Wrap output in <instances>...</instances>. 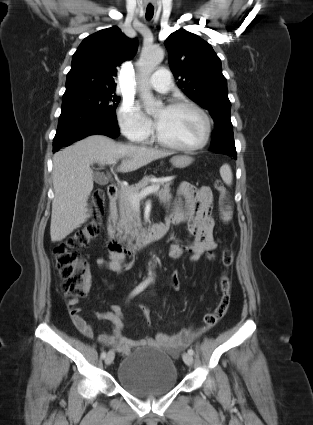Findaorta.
Wrapping results in <instances>:
<instances>
[{
  "instance_id": "aorta-1",
  "label": "aorta",
  "mask_w": 313,
  "mask_h": 425,
  "mask_svg": "<svg viewBox=\"0 0 313 425\" xmlns=\"http://www.w3.org/2000/svg\"><path fill=\"white\" fill-rule=\"evenodd\" d=\"M164 58V52L159 47H152L143 50L137 62L139 75H140V96L142 100L148 105H160L161 102L157 101L151 90L145 84L155 67L161 63Z\"/></svg>"
}]
</instances>
